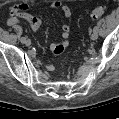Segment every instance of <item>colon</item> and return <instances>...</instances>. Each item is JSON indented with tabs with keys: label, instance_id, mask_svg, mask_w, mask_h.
<instances>
[{
	"label": "colon",
	"instance_id": "obj_1",
	"mask_svg": "<svg viewBox=\"0 0 119 119\" xmlns=\"http://www.w3.org/2000/svg\"><path fill=\"white\" fill-rule=\"evenodd\" d=\"M106 8L103 5H99L96 8H94L91 12V18L93 20H99L101 19L105 14Z\"/></svg>",
	"mask_w": 119,
	"mask_h": 119
}]
</instances>
